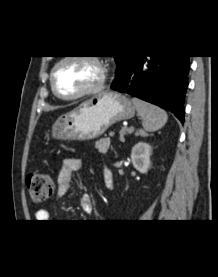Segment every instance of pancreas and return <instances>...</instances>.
Returning a JSON list of instances; mask_svg holds the SVG:
<instances>
[{"instance_id":"cf45deb5","label":"pancreas","mask_w":218,"mask_h":277,"mask_svg":"<svg viewBox=\"0 0 218 277\" xmlns=\"http://www.w3.org/2000/svg\"><path fill=\"white\" fill-rule=\"evenodd\" d=\"M95 147L101 154H106L110 147V138H101L95 143Z\"/></svg>"}]
</instances>
